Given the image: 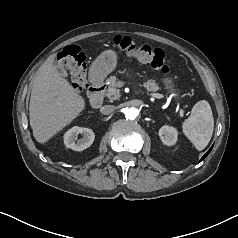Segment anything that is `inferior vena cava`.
<instances>
[{"instance_id": "1", "label": "inferior vena cava", "mask_w": 238, "mask_h": 238, "mask_svg": "<svg viewBox=\"0 0 238 238\" xmlns=\"http://www.w3.org/2000/svg\"><path fill=\"white\" fill-rule=\"evenodd\" d=\"M116 107L114 105H105L100 108V111L105 114L109 115L115 111Z\"/></svg>"}]
</instances>
